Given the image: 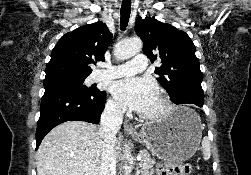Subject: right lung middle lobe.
<instances>
[{"mask_svg":"<svg viewBox=\"0 0 251 175\" xmlns=\"http://www.w3.org/2000/svg\"><path fill=\"white\" fill-rule=\"evenodd\" d=\"M86 77H54V78H45L44 87L52 84H64L79 88L85 92H90L94 90L93 87H86L83 85V82Z\"/></svg>","mask_w":251,"mask_h":175,"instance_id":"dd1d6c3e","label":"right lung middle lobe"}]
</instances>
